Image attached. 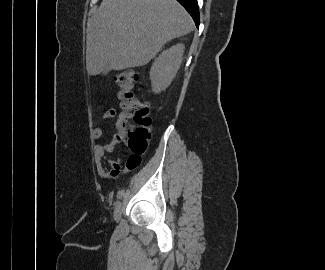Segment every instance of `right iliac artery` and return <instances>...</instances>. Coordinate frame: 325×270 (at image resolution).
Listing matches in <instances>:
<instances>
[{
	"mask_svg": "<svg viewBox=\"0 0 325 270\" xmlns=\"http://www.w3.org/2000/svg\"><path fill=\"white\" fill-rule=\"evenodd\" d=\"M124 190H120V191H118V193H117V198L118 199H120V198H122V196L124 195Z\"/></svg>",
	"mask_w": 325,
	"mask_h": 270,
	"instance_id": "82829eb1",
	"label": "right iliac artery"
}]
</instances>
